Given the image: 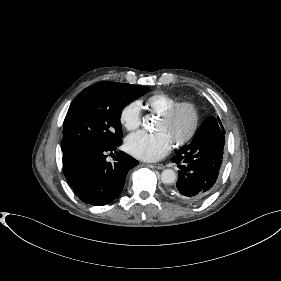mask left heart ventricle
Instances as JSON below:
<instances>
[{"instance_id": "b2bd125f", "label": "left heart ventricle", "mask_w": 281, "mask_h": 281, "mask_svg": "<svg viewBox=\"0 0 281 281\" xmlns=\"http://www.w3.org/2000/svg\"><path fill=\"white\" fill-rule=\"evenodd\" d=\"M191 121L190 112L188 110H181L168 122L158 119L156 130L164 132L173 143L188 132Z\"/></svg>"}]
</instances>
